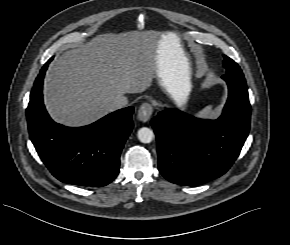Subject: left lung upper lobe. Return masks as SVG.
<instances>
[{
    "label": "left lung upper lobe",
    "mask_w": 290,
    "mask_h": 245,
    "mask_svg": "<svg viewBox=\"0 0 290 245\" xmlns=\"http://www.w3.org/2000/svg\"><path fill=\"white\" fill-rule=\"evenodd\" d=\"M224 67L226 69V73H238L243 74L239 65L232 60L231 58L224 56Z\"/></svg>",
    "instance_id": "5c2ea615"
}]
</instances>
